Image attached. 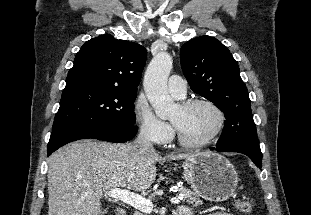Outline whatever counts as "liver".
<instances>
[{"instance_id": "1", "label": "liver", "mask_w": 311, "mask_h": 215, "mask_svg": "<svg viewBox=\"0 0 311 215\" xmlns=\"http://www.w3.org/2000/svg\"><path fill=\"white\" fill-rule=\"evenodd\" d=\"M192 154L160 156L135 144L82 140L53 153L48 169V215H101L100 199L111 189L147 191L156 178V163L188 159Z\"/></svg>"}]
</instances>
